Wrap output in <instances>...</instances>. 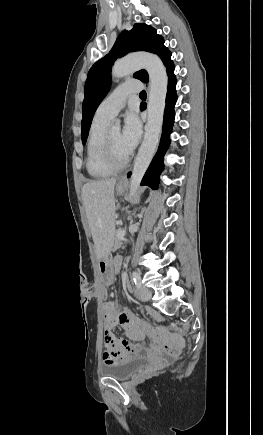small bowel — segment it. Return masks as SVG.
Segmentation results:
<instances>
[{
    "label": "small bowel",
    "instance_id": "small-bowel-1",
    "mask_svg": "<svg viewBox=\"0 0 263 435\" xmlns=\"http://www.w3.org/2000/svg\"><path fill=\"white\" fill-rule=\"evenodd\" d=\"M122 265V258L116 257L111 263V269L114 273H118ZM158 317V315H155ZM122 327L128 333V339H142L148 335L150 340L167 341L162 343V347L158 349L155 346L147 347L144 341L131 342L122 337L114 339L113 348L111 350H103V361L105 363H116L133 356L142 355L144 351L147 354H158L166 356L168 359H176V350H183V341H176V332H160L152 328L148 323L134 315L129 311L120 310L119 306L114 301H109L104 307V330H113L116 327Z\"/></svg>",
    "mask_w": 263,
    "mask_h": 435
}]
</instances>
